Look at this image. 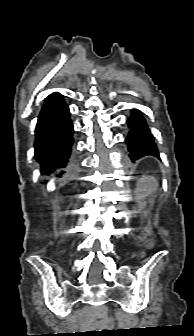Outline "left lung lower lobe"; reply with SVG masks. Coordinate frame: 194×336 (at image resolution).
Instances as JSON below:
<instances>
[{"mask_svg": "<svg viewBox=\"0 0 194 336\" xmlns=\"http://www.w3.org/2000/svg\"><path fill=\"white\" fill-rule=\"evenodd\" d=\"M128 126L131 129L126 143L128 144L129 157L132 162L144 156H156L159 153L154 143V139L148 129L145 119L138 110L132 111V116L128 119Z\"/></svg>", "mask_w": 194, "mask_h": 336, "instance_id": "left-lung-lower-lobe-1", "label": "left lung lower lobe"}]
</instances>
